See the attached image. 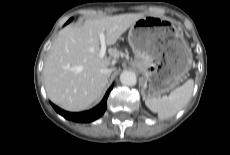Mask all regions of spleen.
Wrapping results in <instances>:
<instances>
[{
	"mask_svg": "<svg viewBox=\"0 0 230 155\" xmlns=\"http://www.w3.org/2000/svg\"><path fill=\"white\" fill-rule=\"evenodd\" d=\"M193 88L194 81L189 79L182 86L174 89L169 96L148 98L145 100V104L152 112L158 113L159 118L167 119L177 114L188 104Z\"/></svg>",
	"mask_w": 230,
	"mask_h": 155,
	"instance_id": "obj_1",
	"label": "spleen"
}]
</instances>
